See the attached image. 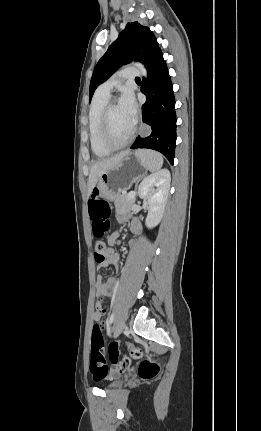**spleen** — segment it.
<instances>
[{
  "label": "spleen",
  "mask_w": 261,
  "mask_h": 431,
  "mask_svg": "<svg viewBox=\"0 0 261 431\" xmlns=\"http://www.w3.org/2000/svg\"><path fill=\"white\" fill-rule=\"evenodd\" d=\"M137 154L152 172L158 171L163 165V157L160 153L151 150H140Z\"/></svg>",
  "instance_id": "3e777b00"
}]
</instances>
